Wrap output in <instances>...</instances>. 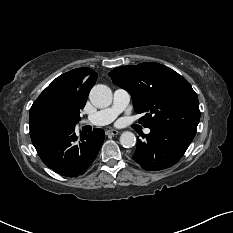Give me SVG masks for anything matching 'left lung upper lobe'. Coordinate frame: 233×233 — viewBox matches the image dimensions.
<instances>
[{"label":"left lung upper lobe","instance_id":"left-lung-upper-lobe-1","mask_svg":"<svg viewBox=\"0 0 233 233\" xmlns=\"http://www.w3.org/2000/svg\"><path fill=\"white\" fill-rule=\"evenodd\" d=\"M127 90L135 111L144 113L140 123L149 129L186 127L197 129L200 120L197 94L177 72L154 62L118 67L108 74Z\"/></svg>","mask_w":233,"mask_h":233}]
</instances>
